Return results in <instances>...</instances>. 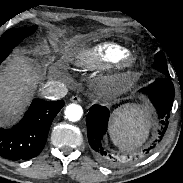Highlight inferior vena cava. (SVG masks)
<instances>
[{"label": "inferior vena cava", "instance_id": "602c4592", "mask_svg": "<svg viewBox=\"0 0 183 183\" xmlns=\"http://www.w3.org/2000/svg\"><path fill=\"white\" fill-rule=\"evenodd\" d=\"M68 90L66 86L60 82L49 81L43 86L41 95L46 99L58 100L65 97Z\"/></svg>", "mask_w": 183, "mask_h": 183}]
</instances>
